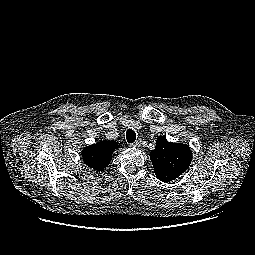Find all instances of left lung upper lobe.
Masks as SVG:
<instances>
[{"label":"left lung upper lobe","mask_w":255,"mask_h":255,"mask_svg":"<svg viewBox=\"0 0 255 255\" xmlns=\"http://www.w3.org/2000/svg\"><path fill=\"white\" fill-rule=\"evenodd\" d=\"M150 158L156 177L170 182L189 168L192 152L187 144L168 142L164 136H160L155 149L150 152Z\"/></svg>","instance_id":"1"}]
</instances>
